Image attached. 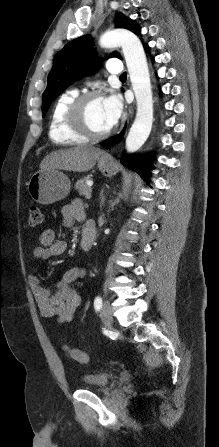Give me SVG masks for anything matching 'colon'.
Wrapping results in <instances>:
<instances>
[{
    "instance_id": "1",
    "label": "colon",
    "mask_w": 219,
    "mask_h": 447,
    "mask_svg": "<svg viewBox=\"0 0 219 447\" xmlns=\"http://www.w3.org/2000/svg\"><path fill=\"white\" fill-rule=\"evenodd\" d=\"M41 223H42V212L38 205L33 204L29 207V225L31 227H37ZM63 349L68 354V356L72 358L74 361L81 364L87 362V355L83 351L67 345H65Z\"/></svg>"
}]
</instances>
